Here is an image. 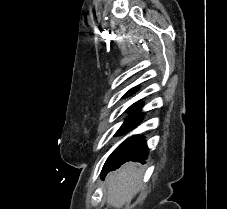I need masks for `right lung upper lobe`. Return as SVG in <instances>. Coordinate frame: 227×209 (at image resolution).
<instances>
[{"label":"right lung upper lobe","mask_w":227,"mask_h":209,"mask_svg":"<svg viewBox=\"0 0 227 209\" xmlns=\"http://www.w3.org/2000/svg\"><path fill=\"white\" fill-rule=\"evenodd\" d=\"M136 87L135 88H132L131 90H129L128 92H127V94L126 95H130V94H132L133 92H135L136 91ZM134 105H136V106H140L141 107V105H142V103H140V102H137V103H135Z\"/></svg>","instance_id":"1"}]
</instances>
